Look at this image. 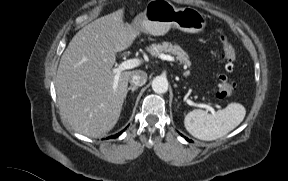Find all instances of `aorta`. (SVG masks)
I'll use <instances>...</instances> for the list:
<instances>
[{
    "mask_svg": "<svg viewBox=\"0 0 288 181\" xmlns=\"http://www.w3.org/2000/svg\"><path fill=\"white\" fill-rule=\"evenodd\" d=\"M152 89L157 94L166 93L168 90V80L163 76H157L152 81Z\"/></svg>",
    "mask_w": 288,
    "mask_h": 181,
    "instance_id": "1",
    "label": "aorta"
}]
</instances>
